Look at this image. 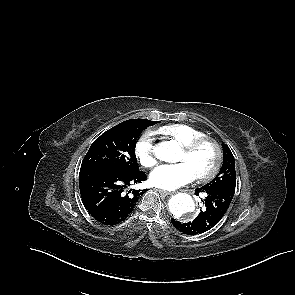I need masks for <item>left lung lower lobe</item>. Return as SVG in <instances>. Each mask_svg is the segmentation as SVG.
I'll list each match as a JSON object with an SVG mask.
<instances>
[{"instance_id": "left-lung-lower-lobe-1", "label": "left lung lower lobe", "mask_w": 295, "mask_h": 295, "mask_svg": "<svg viewBox=\"0 0 295 295\" xmlns=\"http://www.w3.org/2000/svg\"><path fill=\"white\" fill-rule=\"evenodd\" d=\"M205 194L204 207L199 215L188 223H181L171 219L172 224L179 231L188 235L202 234L215 227L227 212L233 199L235 188L229 186L206 187L195 190V194Z\"/></svg>"}]
</instances>
